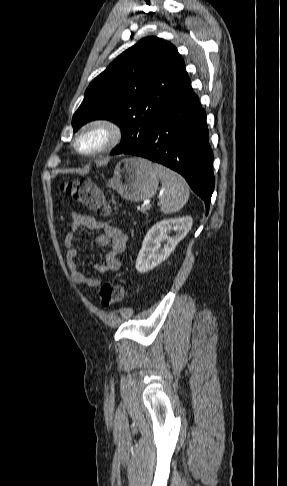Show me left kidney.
<instances>
[{
  "instance_id": "obj_1",
  "label": "left kidney",
  "mask_w": 287,
  "mask_h": 486,
  "mask_svg": "<svg viewBox=\"0 0 287 486\" xmlns=\"http://www.w3.org/2000/svg\"><path fill=\"white\" fill-rule=\"evenodd\" d=\"M193 224L191 216L162 220L147 232L142 248L136 260V269L140 273L148 272L165 261L183 240ZM174 230L176 234L170 236ZM164 242L163 246L161 243Z\"/></svg>"
}]
</instances>
